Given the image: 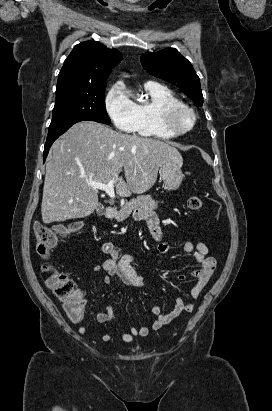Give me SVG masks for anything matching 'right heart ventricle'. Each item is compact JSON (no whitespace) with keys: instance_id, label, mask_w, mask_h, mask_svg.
I'll list each match as a JSON object with an SVG mask.
<instances>
[{"instance_id":"obj_1","label":"right heart ventricle","mask_w":272,"mask_h":411,"mask_svg":"<svg viewBox=\"0 0 272 411\" xmlns=\"http://www.w3.org/2000/svg\"><path fill=\"white\" fill-rule=\"evenodd\" d=\"M148 95L147 101L135 103L136 125L134 132L144 137L171 138L161 126L160 110L171 103L182 102L180 98L168 87L155 82L145 84Z\"/></svg>"}]
</instances>
